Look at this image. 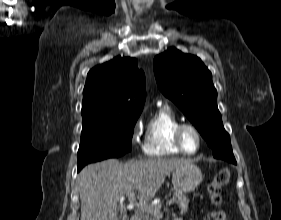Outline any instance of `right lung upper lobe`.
Instances as JSON below:
<instances>
[{
	"mask_svg": "<svg viewBox=\"0 0 281 220\" xmlns=\"http://www.w3.org/2000/svg\"><path fill=\"white\" fill-rule=\"evenodd\" d=\"M145 97V75L137 60L118 56L89 71L82 118L140 115Z\"/></svg>",
	"mask_w": 281,
	"mask_h": 220,
	"instance_id": "obj_1",
	"label": "right lung upper lobe"
}]
</instances>
